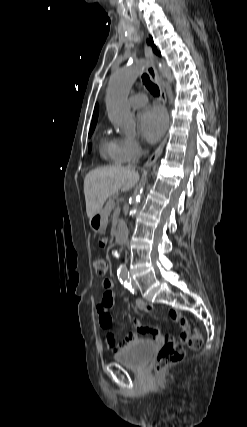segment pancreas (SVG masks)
Instances as JSON below:
<instances>
[{"label":"pancreas","mask_w":247,"mask_h":427,"mask_svg":"<svg viewBox=\"0 0 247 427\" xmlns=\"http://www.w3.org/2000/svg\"><path fill=\"white\" fill-rule=\"evenodd\" d=\"M114 206H115V198H109L103 210L104 213L109 214L111 210L114 208Z\"/></svg>","instance_id":"obj_1"}]
</instances>
